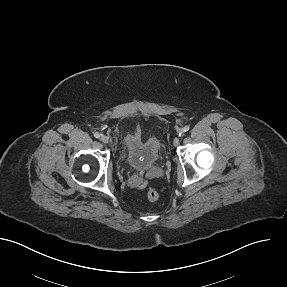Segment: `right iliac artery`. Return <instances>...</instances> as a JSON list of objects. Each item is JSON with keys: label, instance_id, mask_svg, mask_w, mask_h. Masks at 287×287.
<instances>
[{"label": "right iliac artery", "instance_id": "1", "mask_svg": "<svg viewBox=\"0 0 287 287\" xmlns=\"http://www.w3.org/2000/svg\"><path fill=\"white\" fill-rule=\"evenodd\" d=\"M100 136H101L100 133H98V132H95V133H94V137H95V138H99Z\"/></svg>", "mask_w": 287, "mask_h": 287}]
</instances>
